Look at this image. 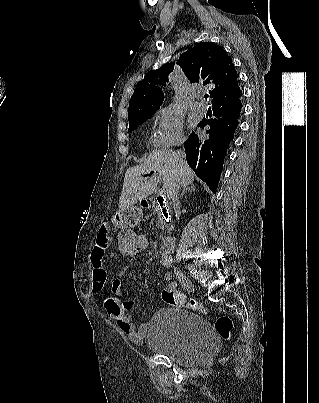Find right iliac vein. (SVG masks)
I'll return each mask as SVG.
<instances>
[{
  "mask_svg": "<svg viewBox=\"0 0 319 403\" xmlns=\"http://www.w3.org/2000/svg\"><path fill=\"white\" fill-rule=\"evenodd\" d=\"M175 275L180 283V285L188 290V291H194V286L192 282L186 277V275L183 273V271L180 268H175Z\"/></svg>",
  "mask_w": 319,
  "mask_h": 403,
  "instance_id": "obj_1",
  "label": "right iliac vein"
}]
</instances>
